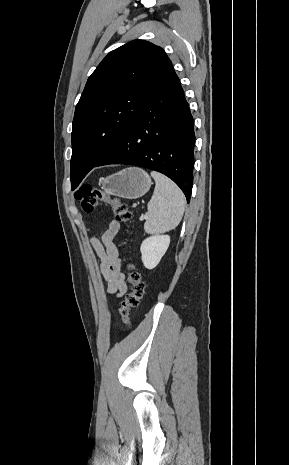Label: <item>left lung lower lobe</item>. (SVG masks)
Segmentation results:
<instances>
[{"mask_svg": "<svg viewBox=\"0 0 289 465\" xmlns=\"http://www.w3.org/2000/svg\"><path fill=\"white\" fill-rule=\"evenodd\" d=\"M194 122L174 73L146 99L134 121L94 166L129 164L171 178L190 201L193 184Z\"/></svg>", "mask_w": 289, "mask_h": 465, "instance_id": "left-lung-lower-lobe-1", "label": "left lung lower lobe"}]
</instances>
